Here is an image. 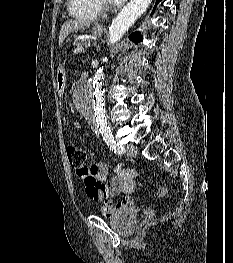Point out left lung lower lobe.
Masks as SVG:
<instances>
[{
  "mask_svg": "<svg viewBox=\"0 0 233 263\" xmlns=\"http://www.w3.org/2000/svg\"><path fill=\"white\" fill-rule=\"evenodd\" d=\"M160 2V0H157L156 1V5ZM129 38L131 40H133L135 43H138L140 41H142V37H141V34L139 32H135V33H132Z\"/></svg>",
  "mask_w": 233,
  "mask_h": 263,
  "instance_id": "0a47b994",
  "label": "left lung lower lobe"
}]
</instances>
